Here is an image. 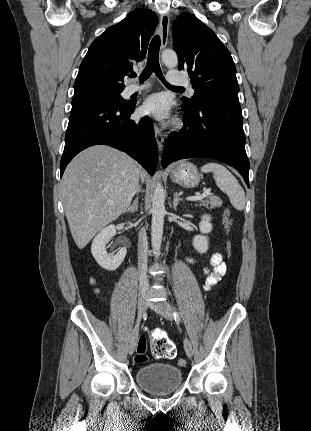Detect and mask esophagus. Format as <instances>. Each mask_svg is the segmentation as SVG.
Returning a JSON list of instances; mask_svg holds the SVG:
<instances>
[{"mask_svg": "<svg viewBox=\"0 0 311 431\" xmlns=\"http://www.w3.org/2000/svg\"><path fill=\"white\" fill-rule=\"evenodd\" d=\"M169 35V15L168 13H162L160 16V37H161V48L164 49L168 42ZM154 133L157 141L159 151L162 150L164 144V136L159 126L154 123Z\"/></svg>", "mask_w": 311, "mask_h": 431, "instance_id": "obj_1", "label": "esophagus"}]
</instances>
